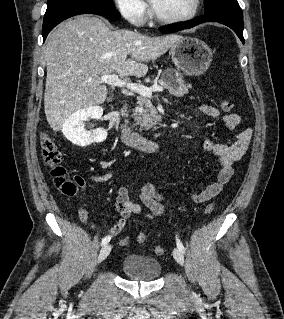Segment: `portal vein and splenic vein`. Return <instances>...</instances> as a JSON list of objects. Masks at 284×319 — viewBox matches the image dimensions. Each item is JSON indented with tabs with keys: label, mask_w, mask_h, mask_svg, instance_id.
<instances>
[{
	"label": "portal vein and splenic vein",
	"mask_w": 284,
	"mask_h": 319,
	"mask_svg": "<svg viewBox=\"0 0 284 319\" xmlns=\"http://www.w3.org/2000/svg\"><path fill=\"white\" fill-rule=\"evenodd\" d=\"M100 81L102 83H106L111 86L116 87H126L127 89H130L131 91H134L138 93L141 96L151 98L153 92H162L163 88L161 86H152V87H146L144 85L136 84V83H126L119 79L118 75L116 74H110V75H103L100 77Z\"/></svg>",
	"instance_id": "18ae733b"
}]
</instances>
